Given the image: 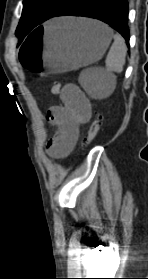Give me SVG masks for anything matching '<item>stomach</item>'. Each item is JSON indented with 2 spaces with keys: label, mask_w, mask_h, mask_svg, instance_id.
<instances>
[{
  "label": "stomach",
  "mask_w": 148,
  "mask_h": 279,
  "mask_svg": "<svg viewBox=\"0 0 148 279\" xmlns=\"http://www.w3.org/2000/svg\"><path fill=\"white\" fill-rule=\"evenodd\" d=\"M38 34H28L21 47V72L27 78H46L90 65L103 56L112 31L106 25L86 19H61L53 24H36Z\"/></svg>",
  "instance_id": "1"
}]
</instances>
